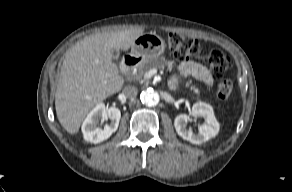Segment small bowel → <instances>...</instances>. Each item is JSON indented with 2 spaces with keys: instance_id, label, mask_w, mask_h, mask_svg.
<instances>
[{
  "instance_id": "1",
  "label": "small bowel",
  "mask_w": 292,
  "mask_h": 192,
  "mask_svg": "<svg viewBox=\"0 0 292 192\" xmlns=\"http://www.w3.org/2000/svg\"><path fill=\"white\" fill-rule=\"evenodd\" d=\"M179 74L182 77H193L207 85L213 83V77L210 72L201 64L194 61H185L182 62L179 67ZM177 79H173L172 84L175 85Z\"/></svg>"
}]
</instances>
